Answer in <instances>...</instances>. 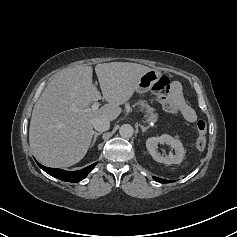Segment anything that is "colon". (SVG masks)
I'll list each match as a JSON object with an SVG mask.
<instances>
[{"mask_svg":"<svg viewBox=\"0 0 237 237\" xmlns=\"http://www.w3.org/2000/svg\"><path fill=\"white\" fill-rule=\"evenodd\" d=\"M152 91L161 101L164 109L168 113L175 114L179 112L180 110L179 106L172 97V89L167 77L165 76L160 77L158 81L154 84ZM196 128L198 132V137L196 140V148L199 151H202L204 150L207 142L206 140L207 124L205 121L200 120L197 122Z\"/></svg>","mask_w":237,"mask_h":237,"instance_id":"obj_1","label":"colon"}]
</instances>
